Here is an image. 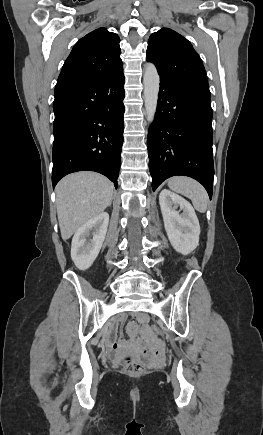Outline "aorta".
<instances>
[{
  "instance_id": "1",
  "label": "aorta",
  "mask_w": 263,
  "mask_h": 435,
  "mask_svg": "<svg viewBox=\"0 0 263 435\" xmlns=\"http://www.w3.org/2000/svg\"><path fill=\"white\" fill-rule=\"evenodd\" d=\"M159 75L154 64L147 63L144 68V101L147 120L151 124L155 118L159 92Z\"/></svg>"
}]
</instances>
